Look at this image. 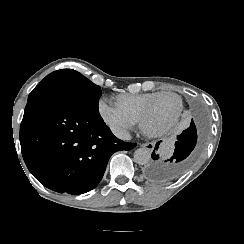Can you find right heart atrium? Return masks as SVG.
<instances>
[{
	"mask_svg": "<svg viewBox=\"0 0 244 244\" xmlns=\"http://www.w3.org/2000/svg\"><path fill=\"white\" fill-rule=\"evenodd\" d=\"M99 111L104 121L115 132H121L131 127L135 122V110L128 103L123 106H116L108 101H102Z\"/></svg>",
	"mask_w": 244,
	"mask_h": 244,
	"instance_id": "1",
	"label": "right heart atrium"
}]
</instances>
